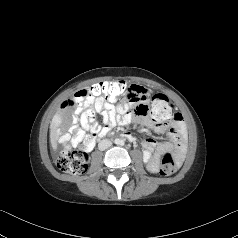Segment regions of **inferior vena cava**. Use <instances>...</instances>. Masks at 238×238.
Returning <instances> with one entry per match:
<instances>
[{
  "mask_svg": "<svg viewBox=\"0 0 238 238\" xmlns=\"http://www.w3.org/2000/svg\"><path fill=\"white\" fill-rule=\"evenodd\" d=\"M112 145V142L108 139H103L99 142L98 148L101 151H104L105 149H108Z\"/></svg>",
  "mask_w": 238,
  "mask_h": 238,
  "instance_id": "602c4592",
  "label": "inferior vena cava"
}]
</instances>
